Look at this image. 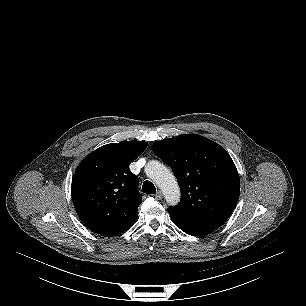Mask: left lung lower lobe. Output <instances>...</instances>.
Masks as SVG:
<instances>
[{"label": "left lung lower lobe", "instance_id": "0a47b994", "mask_svg": "<svg viewBox=\"0 0 306 306\" xmlns=\"http://www.w3.org/2000/svg\"><path fill=\"white\" fill-rule=\"evenodd\" d=\"M170 216H171V219H172L173 223L177 227H179L182 231H184L185 233H187L189 235H192V236L207 235V234L212 233L213 231H215L217 229L215 227L198 226V225H194V224L189 223V222H185V221L177 218L173 214H170Z\"/></svg>", "mask_w": 306, "mask_h": 306}]
</instances>
